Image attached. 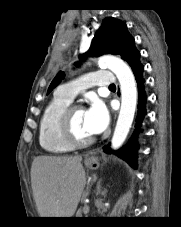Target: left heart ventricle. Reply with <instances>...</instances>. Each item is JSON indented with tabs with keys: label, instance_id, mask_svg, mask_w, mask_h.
Segmentation results:
<instances>
[{
	"label": "left heart ventricle",
	"instance_id": "obj_1",
	"mask_svg": "<svg viewBox=\"0 0 181 227\" xmlns=\"http://www.w3.org/2000/svg\"><path fill=\"white\" fill-rule=\"evenodd\" d=\"M73 128L80 137H90L92 133L88 130L85 123V110H77L73 114Z\"/></svg>",
	"mask_w": 181,
	"mask_h": 227
}]
</instances>
